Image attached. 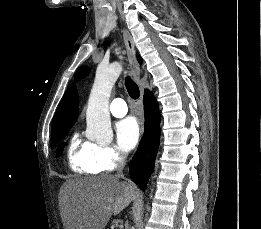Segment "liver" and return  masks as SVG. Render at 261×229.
<instances>
[{"mask_svg": "<svg viewBox=\"0 0 261 229\" xmlns=\"http://www.w3.org/2000/svg\"><path fill=\"white\" fill-rule=\"evenodd\" d=\"M66 229H105L111 215H119L136 199L134 185L113 175L70 179L64 185Z\"/></svg>", "mask_w": 261, "mask_h": 229, "instance_id": "1", "label": "liver"}]
</instances>
